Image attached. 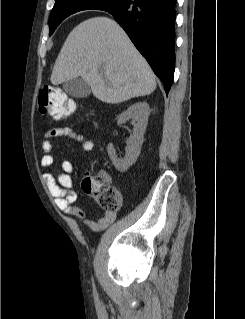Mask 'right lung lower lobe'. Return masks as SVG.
<instances>
[{
    "instance_id": "1",
    "label": "right lung lower lobe",
    "mask_w": 245,
    "mask_h": 319,
    "mask_svg": "<svg viewBox=\"0 0 245 319\" xmlns=\"http://www.w3.org/2000/svg\"><path fill=\"white\" fill-rule=\"evenodd\" d=\"M177 0H123L105 9L126 31L168 93L175 69V4Z\"/></svg>"
}]
</instances>
